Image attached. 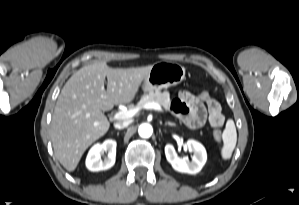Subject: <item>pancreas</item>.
Here are the masks:
<instances>
[{"mask_svg": "<svg viewBox=\"0 0 299 205\" xmlns=\"http://www.w3.org/2000/svg\"><path fill=\"white\" fill-rule=\"evenodd\" d=\"M149 102H156V103L160 104L161 106H163L166 110H169L170 94L168 91L150 92L149 94L143 95V97L140 99L138 105L143 106Z\"/></svg>", "mask_w": 299, "mask_h": 205, "instance_id": "obj_1", "label": "pancreas"}]
</instances>
